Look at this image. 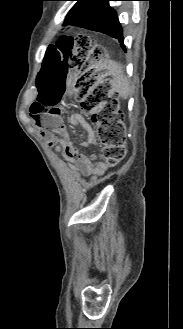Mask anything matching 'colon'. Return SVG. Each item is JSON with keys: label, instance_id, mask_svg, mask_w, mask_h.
Listing matches in <instances>:
<instances>
[{"label": "colon", "instance_id": "obj_1", "mask_svg": "<svg viewBox=\"0 0 183 329\" xmlns=\"http://www.w3.org/2000/svg\"><path fill=\"white\" fill-rule=\"evenodd\" d=\"M63 32H72V25H63ZM90 44H96V37L79 35L76 37H57V45L40 55L39 73L42 80L37 81L39 92L31 107V114L52 122L60 116L63 103H79L81 110L88 114L96 125V137L102 147L104 163L114 166L126 156V126L123 115L115 99L109 97L110 85L96 84V77L83 68L85 55ZM93 67H98L99 56L91 55ZM103 62H113V55H103ZM78 68V74L73 82L72 68ZM118 71L117 67L113 68ZM73 96H72V94ZM43 130L56 132L53 125L41 126Z\"/></svg>", "mask_w": 183, "mask_h": 329}]
</instances>
